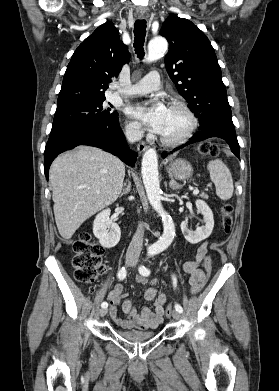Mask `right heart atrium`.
Masks as SVG:
<instances>
[{
	"label": "right heart atrium",
	"instance_id": "1",
	"mask_svg": "<svg viewBox=\"0 0 279 391\" xmlns=\"http://www.w3.org/2000/svg\"><path fill=\"white\" fill-rule=\"evenodd\" d=\"M125 131L128 137L131 139H136L141 134V128L140 126L132 121H127L125 124Z\"/></svg>",
	"mask_w": 279,
	"mask_h": 391
}]
</instances>
